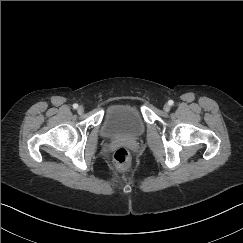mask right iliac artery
<instances>
[{"mask_svg": "<svg viewBox=\"0 0 243 243\" xmlns=\"http://www.w3.org/2000/svg\"><path fill=\"white\" fill-rule=\"evenodd\" d=\"M73 108H74V109H77V108H78V104H76V103L73 104Z\"/></svg>", "mask_w": 243, "mask_h": 243, "instance_id": "1", "label": "right iliac artery"}]
</instances>
